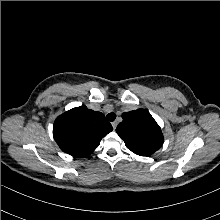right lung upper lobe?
I'll list each match as a JSON object with an SVG mask.
<instances>
[{
    "label": "right lung upper lobe",
    "mask_w": 220,
    "mask_h": 220,
    "mask_svg": "<svg viewBox=\"0 0 220 220\" xmlns=\"http://www.w3.org/2000/svg\"><path fill=\"white\" fill-rule=\"evenodd\" d=\"M112 129L104 114L82 105L55 120L53 135L62 151L74 157H86Z\"/></svg>",
    "instance_id": "right-lung-upper-lobe-1"
}]
</instances>
